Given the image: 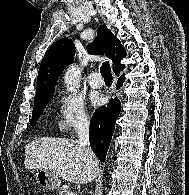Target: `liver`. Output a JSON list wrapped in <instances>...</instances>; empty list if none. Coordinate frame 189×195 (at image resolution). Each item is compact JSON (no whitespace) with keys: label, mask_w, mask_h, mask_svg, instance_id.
Returning a JSON list of instances; mask_svg holds the SVG:
<instances>
[{"label":"liver","mask_w":189,"mask_h":195,"mask_svg":"<svg viewBox=\"0 0 189 195\" xmlns=\"http://www.w3.org/2000/svg\"><path fill=\"white\" fill-rule=\"evenodd\" d=\"M98 165L94 153L72 139L43 137L25 147L26 169L50 170L76 184H86L96 178Z\"/></svg>","instance_id":"6515ba94"}]
</instances>
